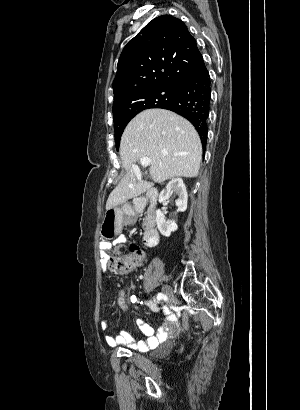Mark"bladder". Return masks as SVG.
<instances>
[{
  "label": "bladder",
  "mask_w": 300,
  "mask_h": 410,
  "mask_svg": "<svg viewBox=\"0 0 300 410\" xmlns=\"http://www.w3.org/2000/svg\"><path fill=\"white\" fill-rule=\"evenodd\" d=\"M172 349H173V344L170 341H165L157 347L155 352H157L158 356H165L171 353Z\"/></svg>",
  "instance_id": "obj_1"
}]
</instances>
